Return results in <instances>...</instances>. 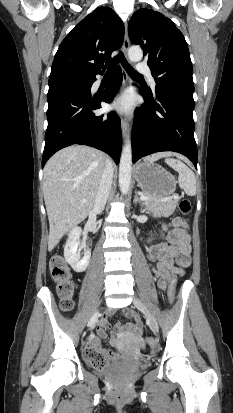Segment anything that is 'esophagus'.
Segmentation results:
<instances>
[{
  "mask_svg": "<svg viewBox=\"0 0 233 413\" xmlns=\"http://www.w3.org/2000/svg\"><path fill=\"white\" fill-rule=\"evenodd\" d=\"M129 47H130V40L128 36L127 25H125V34H124V42H123V52L125 56L127 55ZM127 82H128V75L124 71L123 72V84L126 85ZM121 129H122L123 137L127 139L130 134V127H129V123L124 118H121Z\"/></svg>",
  "mask_w": 233,
  "mask_h": 413,
  "instance_id": "1",
  "label": "esophagus"
}]
</instances>
